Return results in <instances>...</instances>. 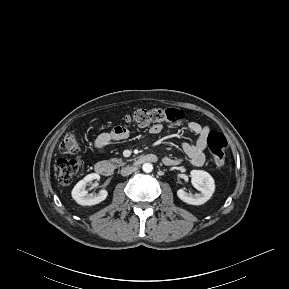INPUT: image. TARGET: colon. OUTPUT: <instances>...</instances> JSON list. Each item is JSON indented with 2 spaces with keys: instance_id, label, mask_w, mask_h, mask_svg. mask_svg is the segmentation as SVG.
I'll list each match as a JSON object with an SVG mask.
<instances>
[{
  "instance_id": "obj_1",
  "label": "colon",
  "mask_w": 289,
  "mask_h": 289,
  "mask_svg": "<svg viewBox=\"0 0 289 289\" xmlns=\"http://www.w3.org/2000/svg\"><path fill=\"white\" fill-rule=\"evenodd\" d=\"M184 119V112L176 108L138 109L123 117L122 123L145 127L151 124H176ZM207 146L212 155L214 164L221 167L224 164V152L228 142L224 134L210 131L207 136ZM79 150V141L76 133L67 134L60 143L63 154H75ZM82 168L80 159H60L57 163V176L60 184L66 186L72 183Z\"/></svg>"
}]
</instances>
